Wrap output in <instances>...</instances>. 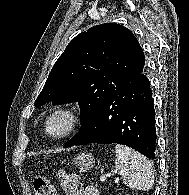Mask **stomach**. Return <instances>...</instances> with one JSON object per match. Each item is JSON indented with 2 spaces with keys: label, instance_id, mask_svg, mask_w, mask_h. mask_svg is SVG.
Returning <instances> with one entry per match:
<instances>
[{
  "label": "stomach",
  "instance_id": "1",
  "mask_svg": "<svg viewBox=\"0 0 189 195\" xmlns=\"http://www.w3.org/2000/svg\"><path fill=\"white\" fill-rule=\"evenodd\" d=\"M74 164L79 167V169L82 172L90 170L94 164H95V159L92 154L90 153H79L75 156L74 158Z\"/></svg>",
  "mask_w": 189,
  "mask_h": 195
}]
</instances>
